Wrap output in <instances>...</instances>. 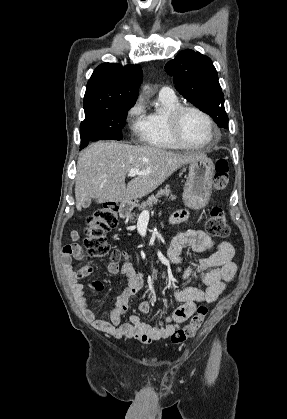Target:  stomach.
Listing matches in <instances>:
<instances>
[{"label": "stomach", "mask_w": 287, "mask_h": 419, "mask_svg": "<svg viewBox=\"0 0 287 419\" xmlns=\"http://www.w3.org/2000/svg\"><path fill=\"white\" fill-rule=\"evenodd\" d=\"M214 177V163L203 157L189 163V174L184 185L183 200L191 209H201L210 200ZM133 205L123 204L119 209L122 218H132Z\"/></svg>", "instance_id": "1"}]
</instances>
